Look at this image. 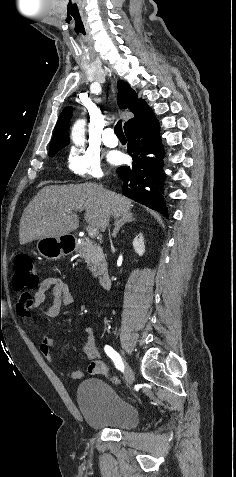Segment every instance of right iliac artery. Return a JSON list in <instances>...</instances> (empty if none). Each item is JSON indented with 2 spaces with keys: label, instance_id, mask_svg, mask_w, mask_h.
Wrapping results in <instances>:
<instances>
[{
  "label": "right iliac artery",
  "instance_id": "82829eb1",
  "mask_svg": "<svg viewBox=\"0 0 236 477\" xmlns=\"http://www.w3.org/2000/svg\"><path fill=\"white\" fill-rule=\"evenodd\" d=\"M104 350H105V353L111 358L115 367L118 370H121L124 368V364L122 362L120 355L111 346L105 345Z\"/></svg>",
  "mask_w": 236,
  "mask_h": 477
}]
</instances>
